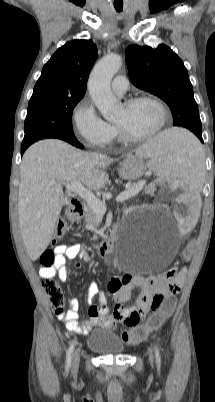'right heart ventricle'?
Returning <instances> with one entry per match:
<instances>
[{
	"instance_id": "1",
	"label": "right heart ventricle",
	"mask_w": 215,
	"mask_h": 402,
	"mask_svg": "<svg viewBox=\"0 0 215 402\" xmlns=\"http://www.w3.org/2000/svg\"><path fill=\"white\" fill-rule=\"evenodd\" d=\"M115 130H116V132H115V136L117 135V133H118V131H117V128L115 127Z\"/></svg>"
}]
</instances>
